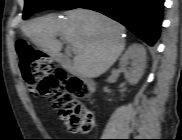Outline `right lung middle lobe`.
<instances>
[{"instance_id":"obj_1","label":"right lung middle lobe","mask_w":182,"mask_h":140,"mask_svg":"<svg viewBox=\"0 0 182 140\" xmlns=\"http://www.w3.org/2000/svg\"><path fill=\"white\" fill-rule=\"evenodd\" d=\"M87 1L88 0H25L23 19L43 10H68L78 8Z\"/></svg>"}]
</instances>
